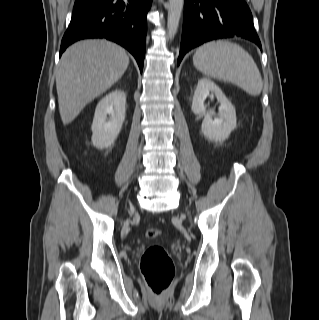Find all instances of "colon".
Masks as SVG:
<instances>
[{
  "mask_svg": "<svg viewBox=\"0 0 319 320\" xmlns=\"http://www.w3.org/2000/svg\"><path fill=\"white\" fill-rule=\"evenodd\" d=\"M160 235L161 231L157 228H150L145 232L149 239ZM140 269L150 294L153 297L163 296L174 275V265L166 249L161 245L148 247L141 258Z\"/></svg>",
  "mask_w": 319,
  "mask_h": 320,
  "instance_id": "5ec220e1",
  "label": "colon"
}]
</instances>
